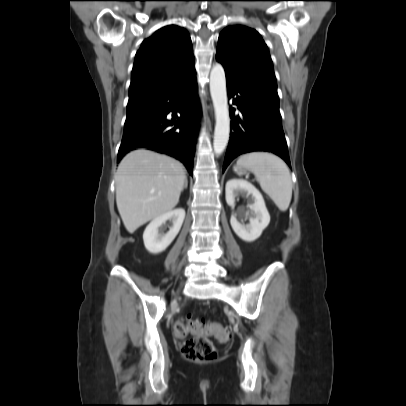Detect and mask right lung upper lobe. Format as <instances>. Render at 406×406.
<instances>
[{"mask_svg":"<svg viewBox=\"0 0 406 406\" xmlns=\"http://www.w3.org/2000/svg\"><path fill=\"white\" fill-rule=\"evenodd\" d=\"M195 73L189 33L176 25L165 26L145 39L136 53L128 106L154 98Z\"/></svg>","mask_w":406,"mask_h":406,"instance_id":"1","label":"right lung upper lobe"}]
</instances>
